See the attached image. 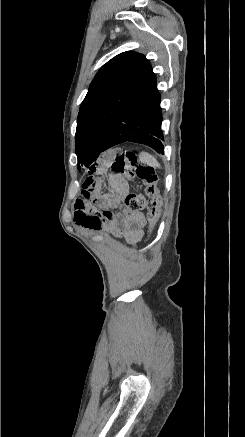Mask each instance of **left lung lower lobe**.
<instances>
[{"mask_svg":"<svg viewBox=\"0 0 245 437\" xmlns=\"http://www.w3.org/2000/svg\"><path fill=\"white\" fill-rule=\"evenodd\" d=\"M162 114L156 76L149 75L112 126L101 152L125 141L145 144L164 153Z\"/></svg>","mask_w":245,"mask_h":437,"instance_id":"0a47b994","label":"left lung lower lobe"}]
</instances>
